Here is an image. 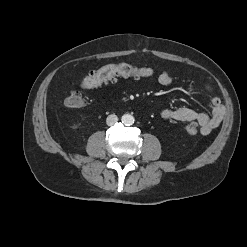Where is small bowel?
Instances as JSON below:
<instances>
[{"label": "small bowel", "mask_w": 247, "mask_h": 247, "mask_svg": "<svg viewBox=\"0 0 247 247\" xmlns=\"http://www.w3.org/2000/svg\"><path fill=\"white\" fill-rule=\"evenodd\" d=\"M158 82L163 86H169L172 84V77L167 72H162L158 76ZM204 87L206 90H210L209 85ZM210 103L212 105V114L210 116L188 107H178L163 109L161 117L181 122H194L200 127L201 134L208 135L219 126L225 115V107L219 97H212Z\"/></svg>", "instance_id": "c3829d8e"}]
</instances>
